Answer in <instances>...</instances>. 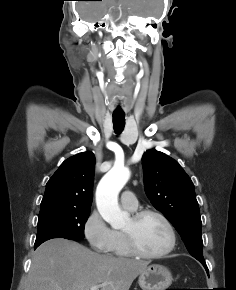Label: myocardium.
<instances>
[{"label": "myocardium", "mask_w": 236, "mask_h": 290, "mask_svg": "<svg viewBox=\"0 0 236 290\" xmlns=\"http://www.w3.org/2000/svg\"><path fill=\"white\" fill-rule=\"evenodd\" d=\"M149 215L158 217L166 226L169 232V237H170L169 244L166 247V249L158 253H152V254L146 253L142 251L140 247L138 246L135 235L132 231H123V235H124L128 250L131 253V255L138 258H142V259H150V260L160 259L167 256L174 250L176 246V242H177L176 231L173 224L168 219V217L156 209L147 208V209L136 211L132 214L131 218L133 222L137 224L140 220H142L144 217L149 216Z\"/></svg>", "instance_id": "obj_1"}]
</instances>
